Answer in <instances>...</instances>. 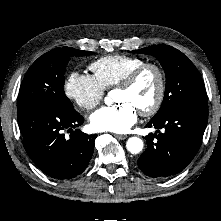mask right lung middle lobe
I'll return each mask as SVG.
<instances>
[{"instance_id":"1","label":"right lung middle lobe","mask_w":221,"mask_h":221,"mask_svg":"<svg viewBox=\"0 0 221 221\" xmlns=\"http://www.w3.org/2000/svg\"><path fill=\"white\" fill-rule=\"evenodd\" d=\"M91 54L92 52L89 51L62 47L39 57L25 74L18 95L17 108L39 102L65 112H76L64 93L63 75L71 56H89Z\"/></svg>"}]
</instances>
